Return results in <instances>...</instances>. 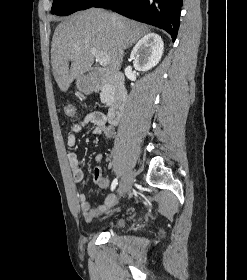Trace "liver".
<instances>
[{
	"instance_id": "1",
	"label": "liver",
	"mask_w": 247,
	"mask_h": 280,
	"mask_svg": "<svg viewBox=\"0 0 247 280\" xmlns=\"http://www.w3.org/2000/svg\"><path fill=\"white\" fill-rule=\"evenodd\" d=\"M147 32L146 26L102 9L90 8L68 17L57 25L51 43V64L60 90L66 92L92 66L90 49L109 57L108 71L114 74L121 68L124 50Z\"/></svg>"
}]
</instances>
